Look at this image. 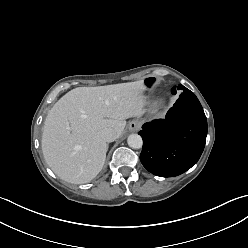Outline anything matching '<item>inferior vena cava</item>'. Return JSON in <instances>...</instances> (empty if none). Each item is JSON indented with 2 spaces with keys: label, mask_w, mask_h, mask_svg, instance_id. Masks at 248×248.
Wrapping results in <instances>:
<instances>
[{
  "label": "inferior vena cava",
  "mask_w": 248,
  "mask_h": 248,
  "mask_svg": "<svg viewBox=\"0 0 248 248\" xmlns=\"http://www.w3.org/2000/svg\"><path fill=\"white\" fill-rule=\"evenodd\" d=\"M101 138L105 142H113L114 140H116L118 138V136H117V133L113 129L106 128V129L102 130Z\"/></svg>",
  "instance_id": "1"
}]
</instances>
